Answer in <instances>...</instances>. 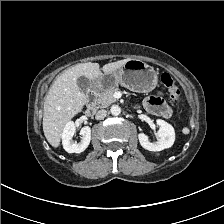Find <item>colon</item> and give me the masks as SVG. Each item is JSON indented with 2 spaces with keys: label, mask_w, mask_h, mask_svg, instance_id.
<instances>
[{
  "label": "colon",
  "mask_w": 224,
  "mask_h": 224,
  "mask_svg": "<svg viewBox=\"0 0 224 224\" xmlns=\"http://www.w3.org/2000/svg\"><path fill=\"white\" fill-rule=\"evenodd\" d=\"M161 82L168 89L171 98L179 101L181 92L173 77L169 73H163L161 75Z\"/></svg>",
  "instance_id": "1"
}]
</instances>
